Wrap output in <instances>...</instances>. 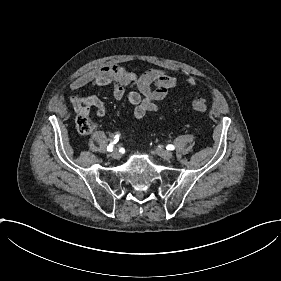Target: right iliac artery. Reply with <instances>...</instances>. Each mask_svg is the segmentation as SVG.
Instances as JSON below:
<instances>
[{"mask_svg": "<svg viewBox=\"0 0 281 281\" xmlns=\"http://www.w3.org/2000/svg\"><path fill=\"white\" fill-rule=\"evenodd\" d=\"M114 138H116L113 143H110L109 146H107V151L112 152L113 151V144H116L119 140V135H116Z\"/></svg>", "mask_w": 281, "mask_h": 281, "instance_id": "1", "label": "right iliac artery"}]
</instances>
